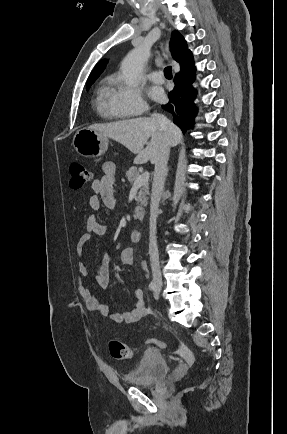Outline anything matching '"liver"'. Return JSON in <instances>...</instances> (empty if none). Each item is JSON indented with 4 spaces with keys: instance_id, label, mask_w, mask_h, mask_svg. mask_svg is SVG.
Wrapping results in <instances>:
<instances>
[{
    "instance_id": "1",
    "label": "liver",
    "mask_w": 287,
    "mask_h": 434,
    "mask_svg": "<svg viewBox=\"0 0 287 434\" xmlns=\"http://www.w3.org/2000/svg\"><path fill=\"white\" fill-rule=\"evenodd\" d=\"M89 128L121 143L136 154L135 163H146L150 160L154 164L160 138V127L154 117L95 124ZM169 131L170 146L174 147L182 142V132L171 121H169ZM149 138L151 139L148 142Z\"/></svg>"
}]
</instances>
